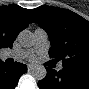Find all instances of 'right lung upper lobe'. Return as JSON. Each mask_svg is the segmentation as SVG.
<instances>
[{
  "label": "right lung upper lobe",
  "mask_w": 89,
  "mask_h": 89,
  "mask_svg": "<svg viewBox=\"0 0 89 89\" xmlns=\"http://www.w3.org/2000/svg\"><path fill=\"white\" fill-rule=\"evenodd\" d=\"M34 22L31 9L18 5L0 7V48L12 47L17 35Z\"/></svg>",
  "instance_id": "right-lung-upper-lobe-1"
}]
</instances>
